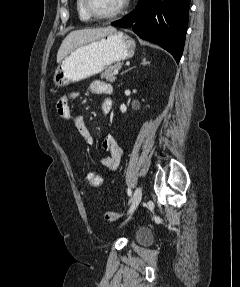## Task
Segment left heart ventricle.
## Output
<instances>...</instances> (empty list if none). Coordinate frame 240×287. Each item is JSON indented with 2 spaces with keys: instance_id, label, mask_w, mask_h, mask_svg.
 Listing matches in <instances>:
<instances>
[{
  "instance_id": "1",
  "label": "left heart ventricle",
  "mask_w": 240,
  "mask_h": 287,
  "mask_svg": "<svg viewBox=\"0 0 240 287\" xmlns=\"http://www.w3.org/2000/svg\"><path fill=\"white\" fill-rule=\"evenodd\" d=\"M123 0H92L94 8L102 14L115 10Z\"/></svg>"
}]
</instances>
